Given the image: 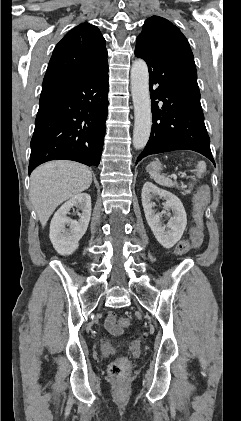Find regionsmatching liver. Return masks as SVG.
<instances>
[{
    "label": "liver",
    "mask_w": 241,
    "mask_h": 421,
    "mask_svg": "<svg viewBox=\"0 0 241 421\" xmlns=\"http://www.w3.org/2000/svg\"><path fill=\"white\" fill-rule=\"evenodd\" d=\"M91 170L77 162L57 160L36 168L30 176V199L44 227L64 201L88 189Z\"/></svg>",
    "instance_id": "6515ba94"
}]
</instances>
